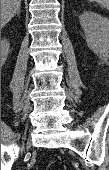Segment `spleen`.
Returning a JSON list of instances; mask_svg holds the SVG:
<instances>
[{
  "instance_id": "obj_1",
  "label": "spleen",
  "mask_w": 109,
  "mask_h": 170,
  "mask_svg": "<svg viewBox=\"0 0 109 170\" xmlns=\"http://www.w3.org/2000/svg\"><path fill=\"white\" fill-rule=\"evenodd\" d=\"M88 1H90V2H97V3H99V4H101L102 6H104V7H109V0H88Z\"/></svg>"
}]
</instances>
